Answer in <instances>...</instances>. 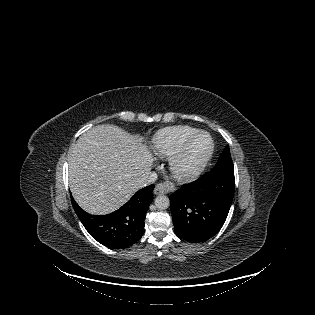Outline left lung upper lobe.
Instances as JSON below:
<instances>
[{"mask_svg":"<svg viewBox=\"0 0 315 315\" xmlns=\"http://www.w3.org/2000/svg\"><path fill=\"white\" fill-rule=\"evenodd\" d=\"M212 171L214 173L234 172V166L228 145L225 147Z\"/></svg>","mask_w":315,"mask_h":315,"instance_id":"1","label":"left lung upper lobe"}]
</instances>
